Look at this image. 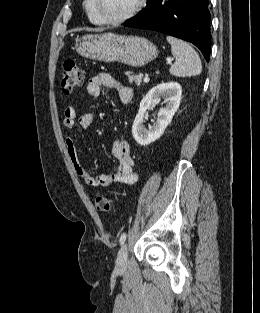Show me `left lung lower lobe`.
Here are the masks:
<instances>
[{"mask_svg": "<svg viewBox=\"0 0 260 313\" xmlns=\"http://www.w3.org/2000/svg\"><path fill=\"white\" fill-rule=\"evenodd\" d=\"M209 0H148L125 26L155 30L196 45L208 61L211 33Z\"/></svg>", "mask_w": 260, "mask_h": 313, "instance_id": "left-lung-lower-lobe-1", "label": "left lung lower lobe"}]
</instances>
